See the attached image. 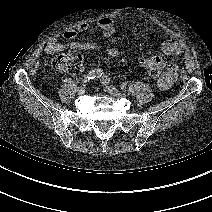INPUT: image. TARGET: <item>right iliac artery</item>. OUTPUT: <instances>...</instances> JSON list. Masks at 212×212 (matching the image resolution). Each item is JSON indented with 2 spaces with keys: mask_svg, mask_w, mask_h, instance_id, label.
<instances>
[{
  "mask_svg": "<svg viewBox=\"0 0 212 212\" xmlns=\"http://www.w3.org/2000/svg\"><path fill=\"white\" fill-rule=\"evenodd\" d=\"M103 75V71L100 68L91 70L86 76L85 78L81 81V83L84 85L85 83H87L89 80L92 79H96L99 78Z\"/></svg>",
  "mask_w": 212,
  "mask_h": 212,
  "instance_id": "1",
  "label": "right iliac artery"
}]
</instances>
